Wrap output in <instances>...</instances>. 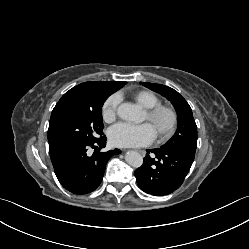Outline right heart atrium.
I'll return each mask as SVG.
<instances>
[{"label": "right heart atrium", "instance_id": "1", "mask_svg": "<svg viewBox=\"0 0 249 249\" xmlns=\"http://www.w3.org/2000/svg\"><path fill=\"white\" fill-rule=\"evenodd\" d=\"M119 97L117 95L109 96L102 106V117L106 122H112L117 116Z\"/></svg>", "mask_w": 249, "mask_h": 249}]
</instances>
